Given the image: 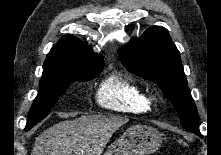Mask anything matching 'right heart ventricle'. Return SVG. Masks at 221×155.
Masks as SVG:
<instances>
[{
    "mask_svg": "<svg viewBox=\"0 0 221 155\" xmlns=\"http://www.w3.org/2000/svg\"><path fill=\"white\" fill-rule=\"evenodd\" d=\"M96 100L100 106L114 111L139 114L151 110L143 87L122 74L106 78L97 90Z\"/></svg>",
    "mask_w": 221,
    "mask_h": 155,
    "instance_id": "1",
    "label": "right heart ventricle"
}]
</instances>
